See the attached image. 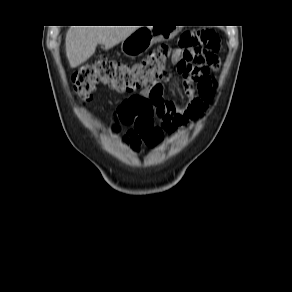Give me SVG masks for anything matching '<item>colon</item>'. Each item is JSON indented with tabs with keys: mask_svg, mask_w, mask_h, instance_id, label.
<instances>
[{
	"mask_svg": "<svg viewBox=\"0 0 292 292\" xmlns=\"http://www.w3.org/2000/svg\"><path fill=\"white\" fill-rule=\"evenodd\" d=\"M219 37L209 29L184 32L179 47L163 45L137 62H122L98 57L81 66L73 75L74 91L88 102L98 84L108 85L118 92H143L125 99L114 116L115 128L134 125L143 135L144 143L155 147L161 134L155 127V116L160 103L162 87L173 74L185 75L194 66L207 59L219 45Z\"/></svg>",
	"mask_w": 292,
	"mask_h": 292,
	"instance_id": "colon-1",
	"label": "colon"
}]
</instances>
